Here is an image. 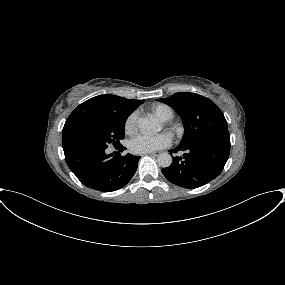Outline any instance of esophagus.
Listing matches in <instances>:
<instances>
[{
    "label": "esophagus",
    "mask_w": 285,
    "mask_h": 285,
    "mask_svg": "<svg viewBox=\"0 0 285 285\" xmlns=\"http://www.w3.org/2000/svg\"><path fill=\"white\" fill-rule=\"evenodd\" d=\"M161 153L156 151V152H151V153H148V155L150 156H159Z\"/></svg>",
    "instance_id": "obj_1"
}]
</instances>
